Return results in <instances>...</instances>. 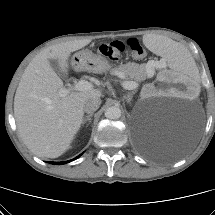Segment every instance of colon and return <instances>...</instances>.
Wrapping results in <instances>:
<instances>
[{"label":"colon","instance_id":"colon-1","mask_svg":"<svg viewBox=\"0 0 215 215\" xmlns=\"http://www.w3.org/2000/svg\"><path fill=\"white\" fill-rule=\"evenodd\" d=\"M128 48L129 52L136 58H142L145 55V49L140 41L136 38H130L126 42L113 41L99 46L98 51L100 54L116 59L121 53Z\"/></svg>","mask_w":215,"mask_h":215}]
</instances>
